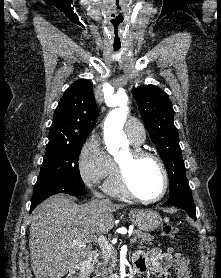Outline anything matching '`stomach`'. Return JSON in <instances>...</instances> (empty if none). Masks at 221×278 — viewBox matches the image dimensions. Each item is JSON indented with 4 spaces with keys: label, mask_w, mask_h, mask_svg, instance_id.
Wrapping results in <instances>:
<instances>
[{
    "label": "stomach",
    "mask_w": 221,
    "mask_h": 278,
    "mask_svg": "<svg viewBox=\"0 0 221 278\" xmlns=\"http://www.w3.org/2000/svg\"><path fill=\"white\" fill-rule=\"evenodd\" d=\"M129 218L140 230L146 232L154 231L162 223L159 213L151 209H132Z\"/></svg>",
    "instance_id": "obj_1"
}]
</instances>
